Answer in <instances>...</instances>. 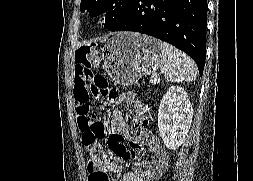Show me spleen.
Masks as SVG:
<instances>
[{
  "instance_id": "3e777b00",
  "label": "spleen",
  "mask_w": 253,
  "mask_h": 181,
  "mask_svg": "<svg viewBox=\"0 0 253 181\" xmlns=\"http://www.w3.org/2000/svg\"><path fill=\"white\" fill-rule=\"evenodd\" d=\"M161 72L167 81H195L197 66L185 53L172 45L161 42Z\"/></svg>"
}]
</instances>
